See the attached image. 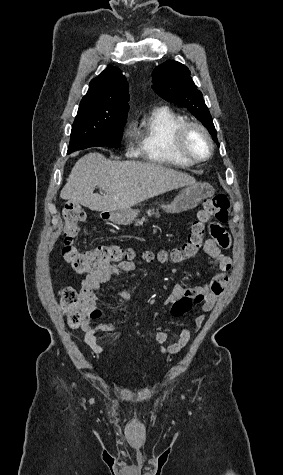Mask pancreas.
Listing matches in <instances>:
<instances>
[{"label": "pancreas", "instance_id": "cf45deb5", "mask_svg": "<svg viewBox=\"0 0 283 475\" xmlns=\"http://www.w3.org/2000/svg\"><path fill=\"white\" fill-rule=\"evenodd\" d=\"M152 214H155L154 210H153ZM152 214H149V216H152ZM156 218H159L158 212H156ZM139 224H140V222H139Z\"/></svg>", "mask_w": 283, "mask_h": 475}]
</instances>
